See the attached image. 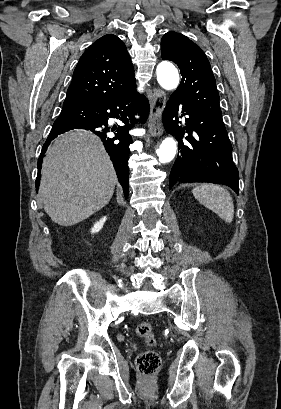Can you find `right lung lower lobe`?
Returning <instances> with one entry per match:
<instances>
[{
  "label": "right lung lower lobe",
  "mask_w": 281,
  "mask_h": 409,
  "mask_svg": "<svg viewBox=\"0 0 281 409\" xmlns=\"http://www.w3.org/2000/svg\"><path fill=\"white\" fill-rule=\"evenodd\" d=\"M136 111L141 113L142 121H145L149 113V103L144 96H140L137 93L135 88L117 97L97 103L63 105L60 116H77L83 118V120L78 124L53 125L38 160L39 174L36 179V187H39L38 181L42 164L41 158L46 152L49 143L57 135L70 129L78 128L90 130L101 138L106 151L113 161L118 179L123 186L124 195L127 199L129 193L128 155L130 153L129 145L132 142L129 130L135 123L133 113ZM110 117H120L122 125L109 127L108 119Z\"/></svg>",
  "instance_id": "right-lung-lower-lobe-1"
}]
</instances>
